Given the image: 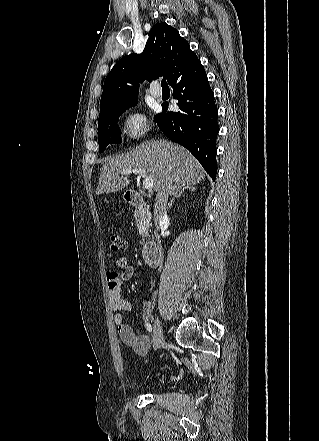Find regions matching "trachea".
<instances>
[{"instance_id": "obj_1", "label": "trachea", "mask_w": 319, "mask_h": 441, "mask_svg": "<svg viewBox=\"0 0 319 441\" xmlns=\"http://www.w3.org/2000/svg\"><path fill=\"white\" fill-rule=\"evenodd\" d=\"M161 86H162V88H168V84H167V82H166L165 79H163V80L161 81Z\"/></svg>"}]
</instances>
